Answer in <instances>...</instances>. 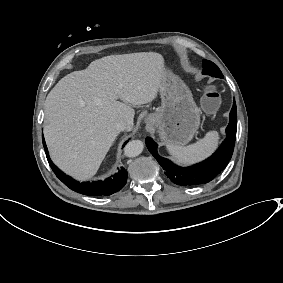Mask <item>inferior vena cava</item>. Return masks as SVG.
Returning <instances> with one entry per match:
<instances>
[{
	"mask_svg": "<svg viewBox=\"0 0 283 283\" xmlns=\"http://www.w3.org/2000/svg\"><path fill=\"white\" fill-rule=\"evenodd\" d=\"M115 126L119 131H129V130H131L129 125L124 120L118 121L115 124Z\"/></svg>",
	"mask_w": 283,
	"mask_h": 283,
	"instance_id": "1",
	"label": "inferior vena cava"
}]
</instances>
